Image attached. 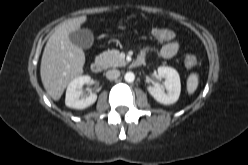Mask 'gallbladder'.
<instances>
[{"label":"gallbladder","mask_w":248,"mask_h":165,"mask_svg":"<svg viewBox=\"0 0 248 165\" xmlns=\"http://www.w3.org/2000/svg\"><path fill=\"white\" fill-rule=\"evenodd\" d=\"M70 41L80 48L88 49L94 41L93 33L89 29H79L70 33Z\"/></svg>","instance_id":"obj_1"}]
</instances>
